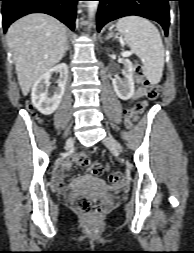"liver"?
<instances>
[{
    "mask_svg": "<svg viewBox=\"0 0 194 253\" xmlns=\"http://www.w3.org/2000/svg\"><path fill=\"white\" fill-rule=\"evenodd\" d=\"M18 82L26 96L32 85L64 56L67 30L46 14L33 13L13 23L7 32Z\"/></svg>",
    "mask_w": 194,
    "mask_h": 253,
    "instance_id": "liver-1",
    "label": "liver"
}]
</instances>
